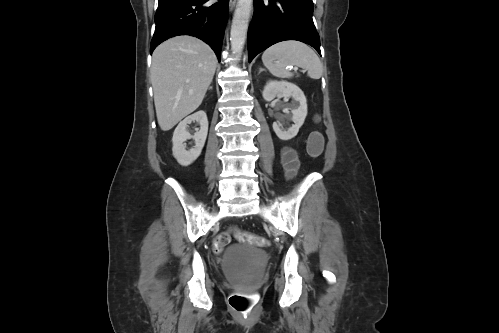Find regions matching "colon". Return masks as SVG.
<instances>
[{
    "label": "colon",
    "instance_id": "colon-1",
    "mask_svg": "<svg viewBox=\"0 0 499 333\" xmlns=\"http://www.w3.org/2000/svg\"><path fill=\"white\" fill-rule=\"evenodd\" d=\"M318 121V118H316ZM324 139L320 131L314 130L308 136L307 141V153L308 155L316 159L323 151ZM235 237L239 241L246 242L250 245L255 246H265L268 244V240L259 235H255L248 231L240 230L233 227L229 230L219 233L213 240V251L215 254H221L225 247L230 243L231 238ZM258 302V298L255 294L234 292L229 297V304L233 310L242 314L248 315L254 309Z\"/></svg>",
    "mask_w": 499,
    "mask_h": 333
}]
</instances>
